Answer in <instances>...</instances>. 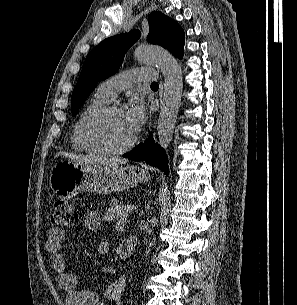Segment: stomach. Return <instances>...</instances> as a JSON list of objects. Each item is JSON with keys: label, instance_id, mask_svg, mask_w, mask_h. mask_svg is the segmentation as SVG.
Masks as SVG:
<instances>
[{"label": "stomach", "instance_id": "1", "mask_svg": "<svg viewBox=\"0 0 297 305\" xmlns=\"http://www.w3.org/2000/svg\"><path fill=\"white\" fill-rule=\"evenodd\" d=\"M150 179L139 166L108 167L61 160L50 172V186L61 199H72L80 191L111 193L134 187Z\"/></svg>", "mask_w": 297, "mask_h": 305}]
</instances>
